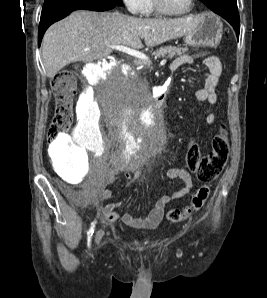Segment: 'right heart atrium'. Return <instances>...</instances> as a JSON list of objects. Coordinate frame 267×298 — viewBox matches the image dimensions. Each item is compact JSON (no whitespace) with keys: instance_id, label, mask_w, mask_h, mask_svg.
I'll return each instance as SVG.
<instances>
[{"instance_id":"obj_1","label":"right heart atrium","mask_w":267,"mask_h":298,"mask_svg":"<svg viewBox=\"0 0 267 298\" xmlns=\"http://www.w3.org/2000/svg\"><path fill=\"white\" fill-rule=\"evenodd\" d=\"M126 9L132 14H140L143 11L145 0H122Z\"/></svg>"}]
</instances>
